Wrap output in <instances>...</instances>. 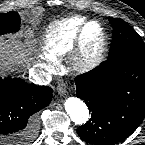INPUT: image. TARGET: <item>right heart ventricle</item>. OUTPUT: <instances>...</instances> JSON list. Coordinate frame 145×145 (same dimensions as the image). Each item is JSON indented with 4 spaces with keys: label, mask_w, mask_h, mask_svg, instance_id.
Instances as JSON below:
<instances>
[{
    "label": "right heart ventricle",
    "mask_w": 145,
    "mask_h": 145,
    "mask_svg": "<svg viewBox=\"0 0 145 145\" xmlns=\"http://www.w3.org/2000/svg\"><path fill=\"white\" fill-rule=\"evenodd\" d=\"M85 21L86 18L82 16H72L51 24L42 46L46 59L57 62L68 56L74 48L78 30Z\"/></svg>",
    "instance_id": "1"
}]
</instances>
